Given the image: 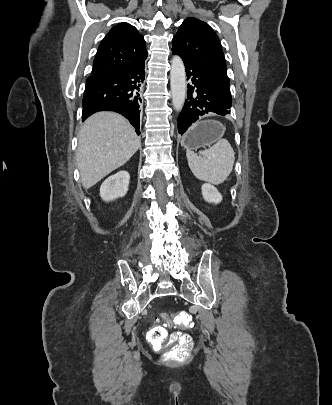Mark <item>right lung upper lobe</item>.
Masks as SVG:
<instances>
[{"instance_id":"right-lung-upper-lobe-1","label":"right lung upper lobe","mask_w":332,"mask_h":405,"mask_svg":"<svg viewBox=\"0 0 332 405\" xmlns=\"http://www.w3.org/2000/svg\"><path fill=\"white\" fill-rule=\"evenodd\" d=\"M147 57L145 42L130 24L122 22L101 41L93 61L92 74L117 71L134 66Z\"/></svg>"}]
</instances>
